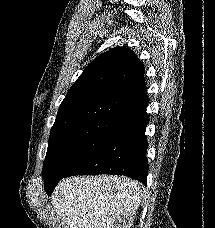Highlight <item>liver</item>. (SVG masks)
Here are the masks:
<instances>
[{
    "instance_id": "1",
    "label": "liver",
    "mask_w": 215,
    "mask_h": 228,
    "mask_svg": "<svg viewBox=\"0 0 215 228\" xmlns=\"http://www.w3.org/2000/svg\"><path fill=\"white\" fill-rule=\"evenodd\" d=\"M145 188L126 176H72L51 204L67 228H131Z\"/></svg>"
}]
</instances>
